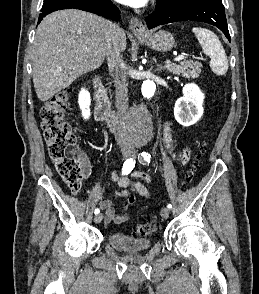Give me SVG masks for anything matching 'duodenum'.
<instances>
[{"label": "duodenum", "mask_w": 259, "mask_h": 294, "mask_svg": "<svg viewBox=\"0 0 259 294\" xmlns=\"http://www.w3.org/2000/svg\"><path fill=\"white\" fill-rule=\"evenodd\" d=\"M100 80V76H95L90 85L91 93L95 102V118L98 121L104 122L110 130L115 131L119 128L120 121L111 109L108 95L101 87Z\"/></svg>", "instance_id": "duodenum-1"}]
</instances>
